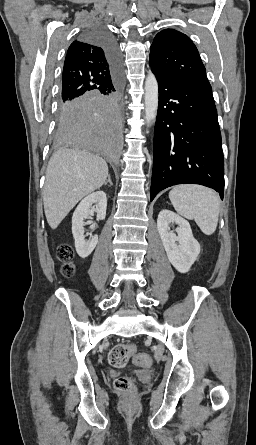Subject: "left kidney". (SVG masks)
Wrapping results in <instances>:
<instances>
[{"mask_svg": "<svg viewBox=\"0 0 256 445\" xmlns=\"http://www.w3.org/2000/svg\"><path fill=\"white\" fill-rule=\"evenodd\" d=\"M171 224L178 225L177 235L170 230ZM157 229L171 264L180 273L188 272L200 253V245L193 237L189 222L164 209L158 215Z\"/></svg>", "mask_w": 256, "mask_h": 445, "instance_id": "obj_1", "label": "left kidney"}]
</instances>
